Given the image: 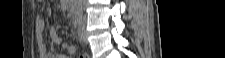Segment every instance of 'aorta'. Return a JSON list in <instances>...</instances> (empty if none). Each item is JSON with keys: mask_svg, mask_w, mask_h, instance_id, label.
Masks as SVG:
<instances>
[{"mask_svg": "<svg viewBox=\"0 0 225 58\" xmlns=\"http://www.w3.org/2000/svg\"><path fill=\"white\" fill-rule=\"evenodd\" d=\"M79 3L75 6L76 7V13L81 16L82 14V5H81V0L78 1Z\"/></svg>", "mask_w": 225, "mask_h": 58, "instance_id": "obj_1", "label": "aorta"}]
</instances>
